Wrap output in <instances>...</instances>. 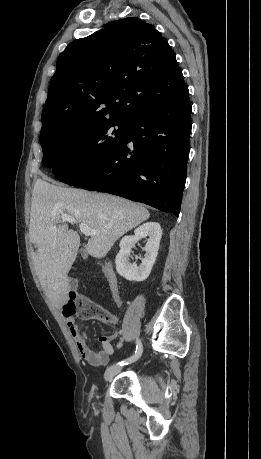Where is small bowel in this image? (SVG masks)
<instances>
[{
	"mask_svg": "<svg viewBox=\"0 0 261 459\" xmlns=\"http://www.w3.org/2000/svg\"><path fill=\"white\" fill-rule=\"evenodd\" d=\"M103 270L106 276L109 279L110 289L114 298V301L118 307H122L123 301L120 295L118 283L116 277L109 266L108 263L102 262L101 263ZM68 329L70 331L71 336L73 337L76 347L80 353V355L85 359L90 365L98 367L106 365L112 355L114 354V348L111 344V340L114 338H118V342L116 344V348H121L123 345V337L120 334H111L101 336L99 340L100 350L94 351L88 344L87 334L83 330V328L74 320L69 319L67 322Z\"/></svg>",
	"mask_w": 261,
	"mask_h": 459,
	"instance_id": "small-bowel-1",
	"label": "small bowel"
}]
</instances>
